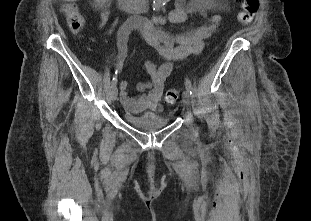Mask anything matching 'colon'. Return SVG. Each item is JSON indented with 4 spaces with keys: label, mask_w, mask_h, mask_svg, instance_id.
<instances>
[{
    "label": "colon",
    "mask_w": 311,
    "mask_h": 221,
    "mask_svg": "<svg viewBox=\"0 0 311 221\" xmlns=\"http://www.w3.org/2000/svg\"><path fill=\"white\" fill-rule=\"evenodd\" d=\"M242 11L238 13V22L242 25H248L253 22L256 11L259 8V0H240ZM62 11L66 17L69 29L73 33H79L84 26V16L78 6L72 2H65L62 5ZM179 98V88L170 87L165 91L164 101L166 104H172Z\"/></svg>",
    "instance_id": "5ec220e1"
}]
</instances>
